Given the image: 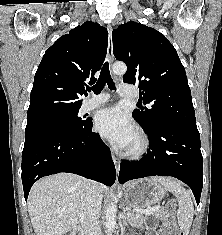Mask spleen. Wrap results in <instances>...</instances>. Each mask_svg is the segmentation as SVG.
Returning a JSON list of instances; mask_svg holds the SVG:
<instances>
[{
  "mask_svg": "<svg viewBox=\"0 0 222 235\" xmlns=\"http://www.w3.org/2000/svg\"><path fill=\"white\" fill-rule=\"evenodd\" d=\"M149 180L153 183L160 184L176 196L178 199V225L183 234L188 235L194 216V206L189 193L181 186L180 183L170 177L156 176Z\"/></svg>",
  "mask_w": 222,
  "mask_h": 235,
  "instance_id": "3e777b00",
  "label": "spleen"
}]
</instances>
